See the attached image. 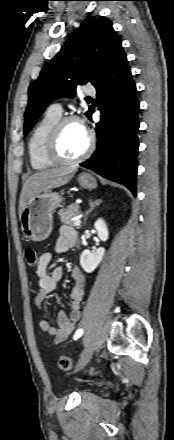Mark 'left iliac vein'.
Segmentation results:
<instances>
[{"instance_id": "4c4485c4", "label": "left iliac vein", "mask_w": 174, "mask_h": 440, "mask_svg": "<svg viewBox=\"0 0 174 440\" xmlns=\"http://www.w3.org/2000/svg\"><path fill=\"white\" fill-rule=\"evenodd\" d=\"M94 351V347L92 345H88L82 352L79 361L75 367L74 372L80 371L91 359Z\"/></svg>"}]
</instances>
